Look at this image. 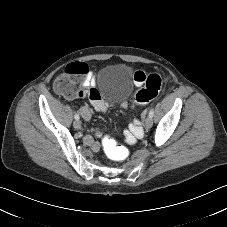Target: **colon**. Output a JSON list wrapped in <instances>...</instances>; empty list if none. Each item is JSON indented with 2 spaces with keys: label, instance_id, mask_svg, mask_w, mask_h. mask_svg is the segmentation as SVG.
I'll return each instance as SVG.
<instances>
[{
  "label": "colon",
  "instance_id": "colon-1",
  "mask_svg": "<svg viewBox=\"0 0 227 227\" xmlns=\"http://www.w3.org/2000/svg\"><path fill=\"white\" fill-rule=\"evenodd\" d=\"M79 64H70L66 66L63 72L57 77L55 81V88L64 96L72 97L79 93L82 96V92L79 91L78 76L81 75ZM134 82H140V88L133 96V102L138 105H145L155 99L162 89L163 78L159 74L144 75L143 72L137 71L133 76ZM89 98L92 101L98 99L97 92L91 91ZM135 137L128 138L129 143L134 142ZM103 148L107 157L112 161H122L128 155V148L112 147L108 140L103 141Z\"/></svg>",
  "mask_w": 227,
  "mask_h": 227
}]
</instances>
